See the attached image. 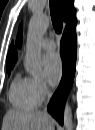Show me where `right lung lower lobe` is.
Masks as SVG:
<instances>
[{"label":"right lung lower lobe","mask_w":95,"mask_h":130,"mask_svg":"<svg viewBox=\"0 0 95 130\" xmlns=\"http://www.w3.org/2000/svg\"><path fill=\"white\" fill-rule=\"evenodd\" d=\"M76 48L75 29L64 33L60 44V54L63 61V76L57 91L48 105V111L60 124H63L64 104L75 74Z\"/></svg>","instance_id":"1"}]
</instances>
